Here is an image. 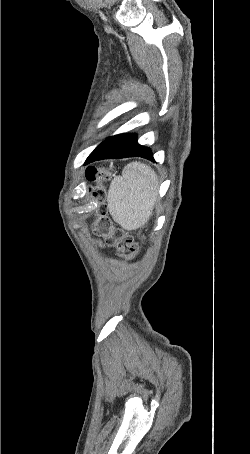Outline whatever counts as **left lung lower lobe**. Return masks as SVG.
Listing matches in <instances>:
<instances>
[{"mask_svg": "<svg viewBox=\"0 0 250 454\" xmlns=\"http://www.w3.org/2000/svg\"><path fill=\"white\" fill-rule=\"evenodd\" d=\"M143 157L154 161L149 148L137 143L135 134H121L107 138L89 155L85 164L96 160Z\"/></svg>", "mask_w": 250, "mask_h": 454, "instance_id": "1", "label": "left lung lower lobe"}]
</instances>
